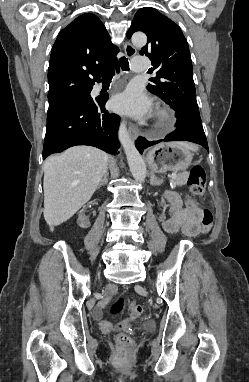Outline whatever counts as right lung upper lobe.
<instances>
[{"label":"right lung upper lobe","instance_id":"obj_1","mask_svg":"<svg viewBox=\"0 0 249 382\" xmlns=\"http://www.w3.org/2000/svg\"><path fill=\"white\" fill-rule=\"evenodd\" d=\"M118 52L97 16L77 17L60 31L51 50L49 103L90 89L117 62Z\"/></svg>","mask_w":249,"mask_h":382}]
</instances>
